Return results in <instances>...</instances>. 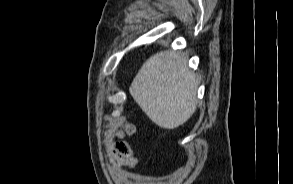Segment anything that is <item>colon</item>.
<instances>
[{"label": "colon", "instance_id": "obj_1", "mask_svg": "<svg viewBox=\"0 0 293 184\" xmlns=\"http://www.w3.org/2000/svg\"><path fill=\"white\" fill-rule=\"evenodd\" d=\"M133 131L134 126L131 123H127L119 132V137L121 138L124 135L131 134ZM113 153L127 163H133L136 160L130 146L122 140H119L115 143L113 147Z\"/></svg>", "mask_w": 293, "mask_h": 184}]
</instances>
